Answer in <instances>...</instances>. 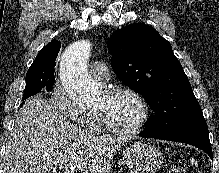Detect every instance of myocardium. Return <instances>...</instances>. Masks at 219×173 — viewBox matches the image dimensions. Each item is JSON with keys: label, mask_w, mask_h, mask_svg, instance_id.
I'll list each match as a JSON object with an SVG mask.
<instances>
[{"label": "myocardium", "mask_w": 219, "mask_h": 173, "mask_svg": "<svg viewBox=\"0 0 219 173\" xmlns=\"http://www.w3.org/2000/svg\"><path fill=\"white\" fill-rule=\"evenodd\" d=\"M104 93L108 97H112L120 93L129 94L133 98H135L141 110L138 122L129 129H121L114 126L109 122V120L105 117V115L101 111L96 110L97 118L101 126L104 128V130L118 136H133L138 134L144 128L150 116V108L144 96L134 88L125 85L109 87L104 91Z\"/></svg>", "instance_id": "f54148a6"}]
</instances>
